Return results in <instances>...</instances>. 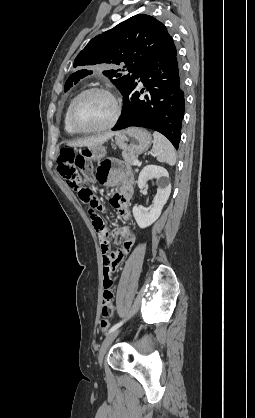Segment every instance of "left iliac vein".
Segmentation results:
<instances>
[{
  "instance_id": "4c4485c4",
  "label": "left iliac vein",
  "mask_w": 255,
  "mask_h": 418,
  "mask_svg": "<svg viewBox=\"0 0 255 418\" xmlns=\"http://www.w3.org/2000/svg\"><path fill=\"white\" fill-rule=\"evenodd\" d=\"M119 332H120V330H115V331L111 332L110 334H108L106 336V338L102 342V345H101L100 350H99V355H98V361H99L100 366H102L103 358H104L109 346L114 341V339L117 337Z\"/></svg>"
}]
</instances>
